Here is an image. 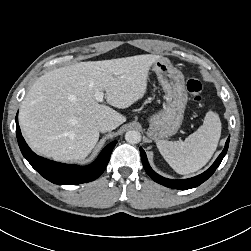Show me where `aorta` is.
Instances as JSON below:
<instances>
[{
    "mask_svg": "<svg viewBox=\"0 0 251 251\" xmlns=\"http://www.w3.org/2000/svg\"><path fill=\"white\" fill-rule=\"evenodd\" d=\"M125 140L130 144H137L141 141V134L137 130H129L125 134Z\"/></svg>",
    "mask_w": 251,
    "mask_h": 251,
    "instance_id": "obj_1",
    "label": "aorta"
}]
</instances>
